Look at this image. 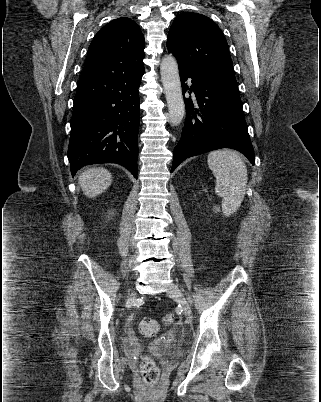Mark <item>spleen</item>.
Listing matches in <instances>:
<instances>
[{
	"label": "spleen",
	"instance_id": "obj_1",
	"mask_svg": "<svg viewBox=\"0 0 321 402\" xmlns=\"http://www.w3.org/2000/svg\"><path fill=\"white\" fill-rule=\"evenodd\" d=\"M208 165L216 178L215 192L222 197L225 215L234 213L241 205L247 186V167L235 151L216 150L208 154Z\"/></svg>",
	"mask_w": 321,
	"mask_h": 402
}]
</instances>
